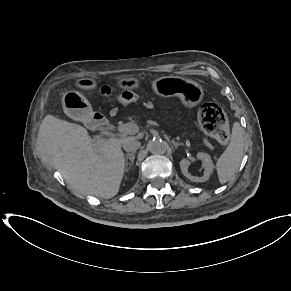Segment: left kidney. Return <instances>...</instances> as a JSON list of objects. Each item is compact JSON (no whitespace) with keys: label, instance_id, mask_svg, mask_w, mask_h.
<instances>
[{"label":"left kidney","instance_id":"obj_1","mask_svg":"<svg viewBox=\"0 0 291 291\" xmlns=\"http://www.w3.org/2000/svg\"><path fill=\"white\" fill-rule=\"evenodd\" d=\"M197 158L202 161L204 167V174L201 177L192 176L188 172V166L190 165V161L188 159H182L180 161V168L185 177L193 182H205L209 179L211 173L213 172L214 164L207 153L199 152L197 154Z\"/></svg>","mask_w":291,"mask_h":291}]
</instances>
